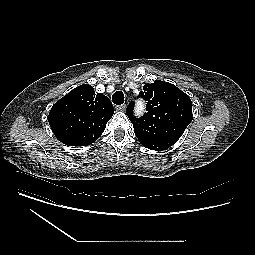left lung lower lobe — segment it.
Returning <instances> with one entry per match:
<instances>
[{
    "instance_id": "0a47b994",
    "label": "left lung lower lobe",
    "mask_w": 255,
    "mask_h": 255,
    "mask_svg": "<svg viewBox=\"0 0 255 255\" xmlns=\"http://www.w3.org/2000/svg\"><path fill=\"white\" fill-rule=\"evenodd\" d=\"M175 142L174 141H154V142H146L141 143L145 148L161 151L169 148L172 146Z\"/></svg>"
}]
</instances>
